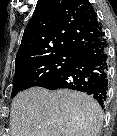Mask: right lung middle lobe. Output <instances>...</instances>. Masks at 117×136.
<instances>
[{
	"instance_id": "obj_1",
	"label": "right lung middle lobe",
	"mask_w": 117,
	"mask_h": 136,
	"mask_svg": "<svg viewBox=\"0 0 117 136\" xmlns=\"http://www.w3.org/2000/svg\"><path fill=\"white\" fill-rule=\"evenodd\" d=\"M77 54L61 52L33 60L15 68L11 98L23 90L38 86L61 71Z\"/></svg>"
}]
</instances>
